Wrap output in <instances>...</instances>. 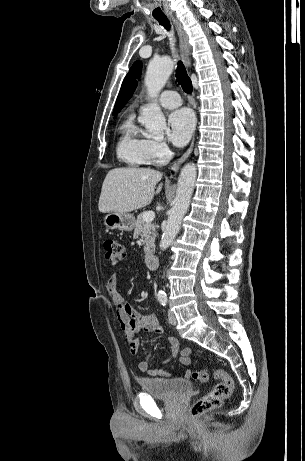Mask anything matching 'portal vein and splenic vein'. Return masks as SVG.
Wrapping results in <instances>:
<instances>
[{
    "instance_id": "portal-vein-and-splenic-vein-1",
    "label": "portal vein and splenic vein",
    "mask_w": 305,
    "mask_h": 461,
    "mask_svg": "<svg viewBox=\"0 0 305 461\" xmlns=\"http://www.w3.org/2000/svg\"><path fill=\"white\" fill-rule=\"evenodd\" d=\"M155 218V213L153 211H147L143 215V219L145 222H151Z\"/></svg>"
}]
</instances>
